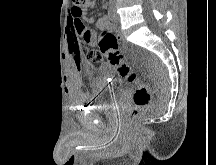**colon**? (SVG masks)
I'll return each instance as SVG.
<instances>
[{"mask_svg":"<svg viewBox=\"0 0 216 165\" xmlns=\"http://www.w3.org/2000/svg\"><path fill=\"white\" fill-rule=\"evenodd\" d=\"M90 2L91 0H72L74 8L77 10L86 7ZM80 51L82 58L87 62L85 67L87 72H95L97 69L95 64H98V67L109 66L115 69L124 80L134 85L133 108L130 116L132 120L141 117L150 105L151 89L148 83L138 76L119 50L118 37L112 32L104 30L100 35L99 50H90L80 46Z\"/></svg>","mask_w":216,"mask_h":165,"instance_id":"1","label":"colon"}]
</instances>
